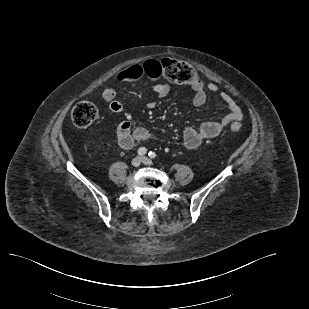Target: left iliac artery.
I'll return each mask as SVG.
<instances>
[{"instance_id":"obj_1","label":"left iliac artery","mask_w":309,"mask_h":309,"mask_svg":"<svg viewBox=\"0 0 309 309\" xmlns=\"http://www.w3.org/2000/svg\"><path fill=\"white\" fill-rule=\"evenodd\" d=\"M148 155H149V157L152 158V159H154V158L156 157V153H155V152H152V151L149 152Z\"/></svg>"}]
</instances>
